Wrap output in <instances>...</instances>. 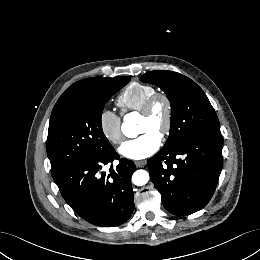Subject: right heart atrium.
Returning <instances> with one entry per match:
<instances>
[{
  "instance_id": "right-heart-atrium-1",
  "label": "right heart atrium",
  "mask_w": 260,
  "mask_h": 260,
  "mask_svg": "<svg viewBox=\"0 0 260 260\" xmlns=\"http://www.w3.org/2000/svg\"><path fill=\"white\" fill-rule=\"evenodd\" d=\"M102 135L112 144L119 145L123 141L122 120L113 110L105 107L98 116Z\"/></svg>"
}]
</instances>
